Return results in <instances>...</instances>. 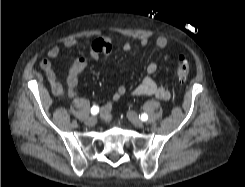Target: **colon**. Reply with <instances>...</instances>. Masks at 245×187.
<instances>
[{
	"mask_svg": "<svg viewBox=\"0 0 245 187\" xmlns=\"http://www.w3.org/2000/svg\"><path fill=\"white\" fill-rule=\"evenodd\" d=\"M190 67L188 62L183 56H179L178 63L176 67V77L179 82L183 83L186 81L189 75Z\"/></svg>",
	"mask_w": 245,
	"mask_h": 187,
	"instance_id": "obj_1",
	"label": "colon"
}]
</instances>
